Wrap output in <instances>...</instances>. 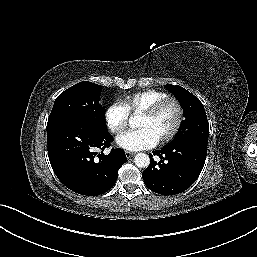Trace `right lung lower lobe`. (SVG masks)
<instances>
[{"label":"right lung lower lobe","mask_w":257,"mask_h":257,"mask_svg":"<svg viewBox=\"0 0 257 257\" xmlns=\"http://www.w3.org/2000/svg\"><path fill=\"white\" fill-rule=\"evenodd\" d=\"M109 132L98 131L78 119L47 123L48 157L58 179L70 190L96 196L111 189L118 170L127 161L122 149L104 150L110 146Z\"/></svg>","instance_id":"1"}]
</instances>
